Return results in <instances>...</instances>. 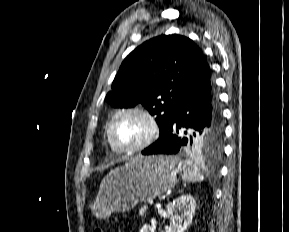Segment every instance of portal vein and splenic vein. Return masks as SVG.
<instances>
[{"instance_id":"1","label":"portal vein and splenic vein","mask_w":289,"mask_h":232,"mask_svg":"<svg viewBox=\"0 0 289 232\" xmlns=\"http://www.w3.org/2000/svg\"><path fill=\"white\" fill-rule=\"evenodd\" d=\"M148 203H149V205H153L154 201L153 200H149Z\"/></svg>"}]
</instances>
